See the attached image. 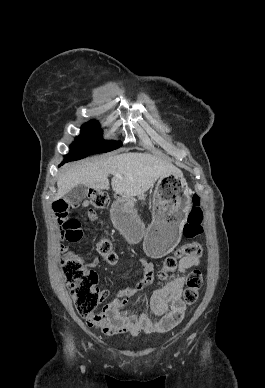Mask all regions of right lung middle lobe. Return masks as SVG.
<instances>
[{
	"mask_svg": "<svg viewBox=\"0 0 265 388\" xmlns=\"http://www.w3.org/2000/svg\"><path fill=\"white\" fill-rule=\"evenodd\" d=\"M81 130V135L71 145L69 154L64 156L63 163L79 160L92 154L109 152L122 144L118 141L103 140L99 123L94 120L83 125Z\"/></svg>",
	"mask_w": 265,
	"mask_h": 388,
	"instance_id": "dd1d6c3e",
	"label": "right lung middle lobe"
}]
</instances>
